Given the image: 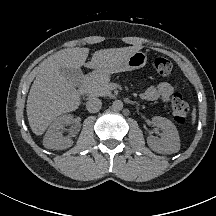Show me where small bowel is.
Listing matches in <instances>:
<instances>
[{
	"mask_svg": "<svg viewBox=\"0 0 216 216\" xmlns=\"http://www.w3.org/2000/svg\"><path fill=\"white\" fill-rule=\"evenodd\" d=\"M176 90V85L163 81L158 83L156 86L149 87L143 93V98L150 101L161 99L166 102L170 100Z\"/></svg>",
	"mask_w": 216,
	"mask_h": 216,
	"instance_id": "obj_1",
	"label": "small bowel"
}]
</instances>
